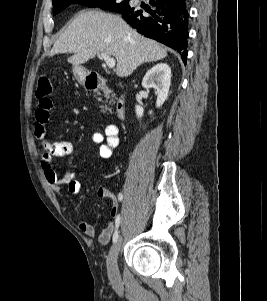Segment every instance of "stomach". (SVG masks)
<instances>
[{"instance_id": "stomach-1", "label": "stomach", "mask_w": 267, "mask_h": 301, "mask_svg": "<svg viewBox=\"0 0 267 301\" xmlns=\"http://www.w3.org/2000/svg\"><path fill=\"white\" fill-rule=\"evenodd\" d=\"M73 74L79 83L84 84L87 77V72L84 68L80 66L73 67Z\"/></svg>"}]
</instances>
